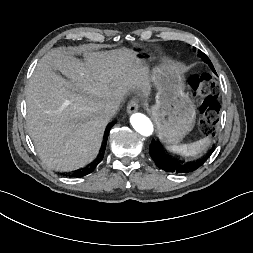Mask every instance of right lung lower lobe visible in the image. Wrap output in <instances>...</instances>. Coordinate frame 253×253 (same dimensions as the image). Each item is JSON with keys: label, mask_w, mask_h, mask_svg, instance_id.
<instances>
[{"label": "right lung lower lobe", "mask_w": 253, "mask_h": 253, "mask_svg": "<svg viewBox=\"0 0 253 253\" xmlns=\"http://www.w3.org/2000/svg\"><path fill=\"white\" fill-rule=\"evenodd\" d=\"M109 129H110V127L108 128L107 133H106V137H105L104 145H103V149H102V154L100 156V161L102 160L103 155H104V151H105V147H106V143H107ZM95 167H96V165L95 166H91L90 168L86 169L85 171L75 172L72 175H70V177H82L84 175H87V174L91 173L95 169Z\"/></svg>", "instance_id": "98d812e1"}]
</instances>
